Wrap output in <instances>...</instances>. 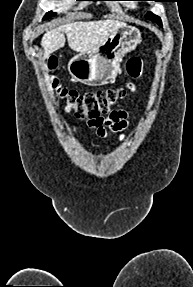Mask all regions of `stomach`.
<instances>
[{
	"instance_id": "0dacf381",
	"label": "stomach",
	"mask_w": 193,
	"mask_h": 287,
	"mask_svg": "<svg viewBox=\"0 0 193 287\" xmlns=\"http://www.w3.org/2000/svg\"><path fill=\"white\" fill-rule=\"evenodd\" d=\"M141 41L137 28L124 25L95 51L75 55L69 61V73L76 82L89 86L111 83L117 77L122 58L135 50Z\"/></svg>"
}]
</instances>
